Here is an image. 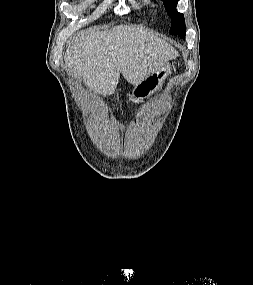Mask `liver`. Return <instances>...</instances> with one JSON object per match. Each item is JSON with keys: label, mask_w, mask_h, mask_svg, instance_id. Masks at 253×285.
Here are the masks:
<instances>
[{"label": "liver", "mask_w": 253, "mask_h": 285, "mask_svg": "<svg viewBox=\"0 0 253 285\" xmlns=\"http://www.w3.org/2000/svg\"><path fill=\"white\" fill-rule=\"evenodd\" d=\"M177 55L174 47L153 33L119 25L76 38L64 60L86 86L105 96L115 92L120 73L136 86Z\"/></svg>", "instance_id": "1"}]
</instances>
